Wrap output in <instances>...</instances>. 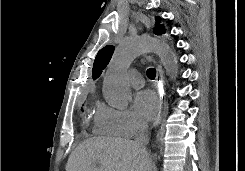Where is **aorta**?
I'll return each mask as SVG.
<instances>
[{"instance_id":"1","label":"aorta","mask_w":245,"mask_h":171,"mask_svg":"<svg viewBox=\"0 0 245 171\" xmlns=\"http://www.w3.org/2000/svg\"><path fill=\"white\" fill-rule=\"evenodd\" d=\"M150 52L159 56L166 73L171 78L177 76L176 54L164 41L150 36L125 38L112 57L103 83V96L111 107L123 110L128 106L132 93L125 79L126 71L138 56Z\"/></svg>"}]
</instances>
